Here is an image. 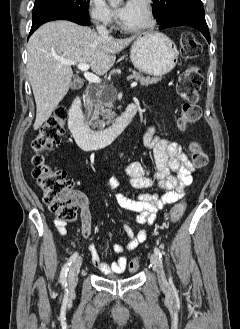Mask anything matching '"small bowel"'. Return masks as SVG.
Wrapping results in <instances>:
<instances>
[{"label":"small bowel","mask_w":240,"mask_h":329,"mask_svg":"<svg viewBox=\"0 0 240 329\" xmlns=\"http://www.w3.org/2000/svg\"><path fill=\"white\" fill-rule=\"evenodd\" d=\"M143 143L153 150L155 168L151 169L140 162H132L125 167V174L133 187L146 193L135 199L123 194H115V198L122 208L136 214L138 224L150 226L154 222L156 212L182 199L185 187L192 182L194 166L177 143L156 136L153 125L145 128ZM118 185L119 179L116 177L107 182L110 189ZM79 205L81 232L83 237L88 239L93 232L91 212L84 199L81 198ZM54 224L60 235H66L67 228L64 222L56 220ZM124 229L130 240L126 245H113V250L119 254L136 249L147 238L146 229L134 231L128 224H124ZM88 250L93 265L101 273H121L126 269L125 256L106 263L102 260V252L94 245L90 244Z\"/></svg>","instance_id":"small-bowel-1"}]
</instances>
